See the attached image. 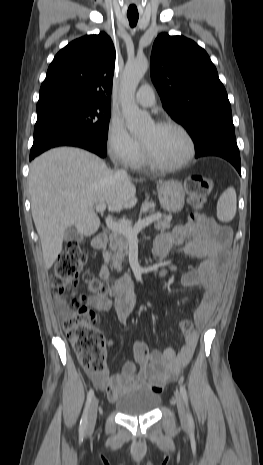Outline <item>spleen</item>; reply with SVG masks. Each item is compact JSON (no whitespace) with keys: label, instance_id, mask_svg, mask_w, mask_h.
Returning <instances> with one entry per match:
<instances>
[{"label":"spleen","instance_id":"3e777b00","mask_svg":"<svg viewBox=\"0 0 263 465\" xmlns=\"http://www.w3.org/2000/svg\"><path fill=\"white\" fill-rule=\"evenodd\" d=\"M236 214V191L233 187L226 189L217 202V218L222 222L231 221Z\"/></svg>","mask_w":263,"mask_h":465}]
</instances>
